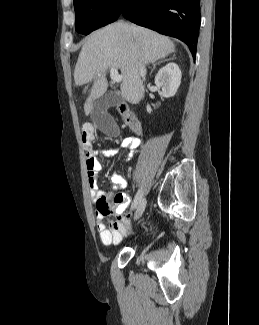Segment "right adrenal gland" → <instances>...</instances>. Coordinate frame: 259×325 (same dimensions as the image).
<instances>
[{"label":"right adrenal gland","mask_w":259,"mask_h":325,"mask_svg":"<svg viewBox=\"0 0 259 325\" xmlns=\"http://www.w3.org/2000/svg\"><path fill=\"white\" fill-rule=\"evenodd\" d=\"M165 61H169V60L159 61L158 63L153 64L150 75L152 74V72L154 71V69L156 68L157 65H159V64H161L162 62H165Z\"/></svg>","instance_id":"right-adrenal-gland-1"}]
</instances>
